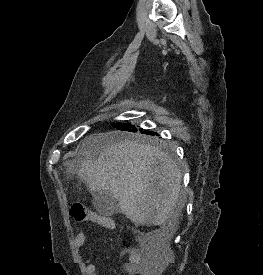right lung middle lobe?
I'll list each match as a JSON object with an SVG mask.
<instances>
[{"label": "right lung middle lobe", "instance_id": "dd1d6c3e", "mask_svg": "<svg viewBox=\"0 0 263 275\" xmlns=\"http://www.w3.org/2000/svg\"><path fill=\"white\" fill-rule=\"evenodd\" d=\"M112 126L118 130L134 132L137 134H144L146 136L140 135L139 138L142 140H145V141H157L158 140L157 138L153 137L154 135H157L156 132L147 131V130L137 128L136 126L129 124L127 122H125V123L116 122V123H113Z\"/></svg>", "mask_w": 263, "mask_h": 275}]
</instances>
